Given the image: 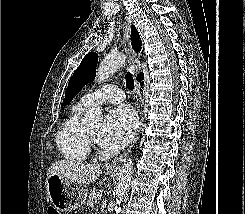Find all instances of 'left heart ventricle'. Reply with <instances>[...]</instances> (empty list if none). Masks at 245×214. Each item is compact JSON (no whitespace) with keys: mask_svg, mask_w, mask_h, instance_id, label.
<instances>
[{"mask_svg":"<svg viewBox=\"0 0 245 214\" xmlns=\"http://www.w3.org/2000/svg\"><path fill=\"white\" fill-rule=\"evenodd\" d=\"M87 131L93 137H95L96 134L98 133V129H88Z\"/></svg>","mask_w":245,"mask_h":214,"instance_id":"b2bd125f","label":"left heart ventricle"}]
</instances>
